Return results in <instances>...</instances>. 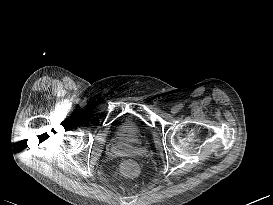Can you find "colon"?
Returning <instances> with one entry per match:
<instances>
[{"label": "colon", "instance_id": "colon-1", "mask_svg": "<svg viewBox=\"0 0 273 205\" xmlns=\"http://www.w3.org/2000/svg\"><path fill=\"white\" fill-rule=\"evenodd\" d=\"M138 172V166L133 161H125L120 166V173L124 177L132 178Z\"/></svg>", "mask_w": 273, "mask_h": 205}]
</instances>
